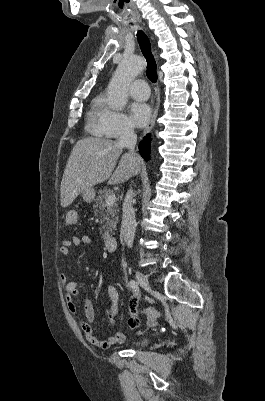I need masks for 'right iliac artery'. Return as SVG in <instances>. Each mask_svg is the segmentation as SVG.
Masks as SVG:
<instances>
[{"label":"right iliac artery","instance_id":"right-iliac-artery-1","mask_svg":"<svg viewBox=\"0 0 265 401\" xmlns=\"http://www.w3.org/2000/svg\"><path fill=\"white\" fill-rule=\"evenodd\" d=\"M129 286L134 292H139V286H138V283L135 280H131L129 282Z\"/></svg>","mask_w":265,"mask_h":401}]
</instances>
